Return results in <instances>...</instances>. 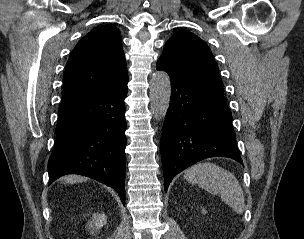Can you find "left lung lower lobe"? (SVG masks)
Here are the masks:
<instances>
[{
  "mask_svg": "<svg viewBox=\"0 0 304 239\" xmlns=\"http://www.w3.org/2000/svg\"><path fill=\"white\" fill-rule=\"evenodd\" d=\"M156 67L169 74L172 86L160 142L165 192L176 174L205 158L228 157L243 165L225 97L159 61Z\"/></svg>",
  "mask_w": 304,
  "mask_h": 239,
  "instance_id": "left-lung-lower-lobe-1",
  "label": "left lung lower lobe"
}]
</instances>
